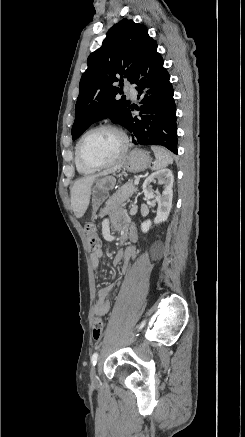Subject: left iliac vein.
Segmentation results:
<instances>
[{
    "mask_svg": "<svg viewBox=\"0 0 245 437\" xmlns=\"http://www.w3.org/2000/svg\"><path fill=\"white\" fill-rule=\"evenodd\" d=\"M90 378H91V382L93 385H97L98 383V376H97V371H96V367L93 366L90 370Z\"/></svg>",
    "mask_w": 245,
    "mask_h": 437,
    "instance_id": "left-iliac-vein-1",
    "label": "left iliac vein"
}]
</instances>
